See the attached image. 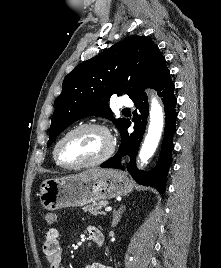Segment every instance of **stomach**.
Returning a JSON list of instances; mask_svg holds the SVG:
<instances>
[{
	"mask_svg": "<svg viewBox=\"0 0 221 268\" xmlns=\"http://www.w3.org/2000/svg\"><path fill=\"white\" fill-rule=\"evenodd\" d=\"M132 190L133 184L121 171L89 169L77 175L45 180L39 198L46 210L54 211L127 195Z\"/></svg>",
	"mask_w": 221,
	"mask_h": 268,
	"instance_id": "0dacf381",
	"label": "stomach"
}]
</instances>
